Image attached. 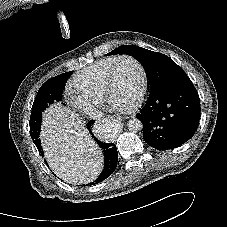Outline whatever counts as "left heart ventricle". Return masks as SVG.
Wrapping results in <instances>:
<instances>
[{"label":"left heart ventricle","instance_id":"left-heart-ventricle-1","mask_svg":"<svg viewBox=\"0 0 227 227\" xmlns=\"http://www.w3.org/2000/svg\"><path fill=\"white\" fill-rule=\"evenodd\" d=\"M141 74L130 60L119 63L111 90V101L116 106H128L134 102L141 89Z\"/></svg>","mask_w":227,"mask_h":227}]
</instances>
